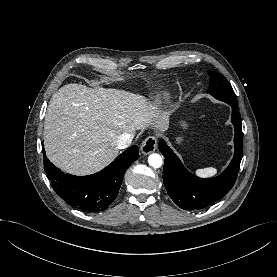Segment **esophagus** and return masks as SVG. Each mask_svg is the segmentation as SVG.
<instances>
[{
    "mask_svg": "<svg viewBox=\"0 0 277 277\" xmlns=\"http://www.w3.org/2000/svg\"><path fill=\"white\" fill-rule=\"evenodd\" d=\"M157 148V139L153 136L147 137L141 144L140 150L144 155L154 152Z\"/></svg>",
    "mask_w": 277,
    "mask_h": 277,
    "instance_id": "esophagus-1",
    "label": "esophagus"
}]
</instances>
